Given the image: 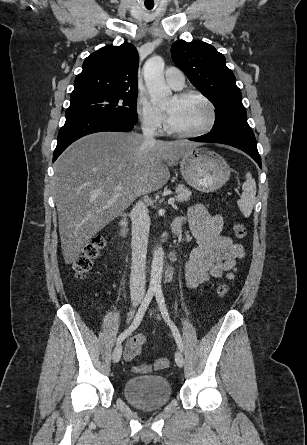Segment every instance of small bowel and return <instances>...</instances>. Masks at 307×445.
<instances>
[{
  "label": "small bowel",
  "mask_w": 307,
  "mask_h": 445,
  "mask_svg": "<svg viewBox=\"0 0 307 445\" xmlns=\"http://www.w3.org/2000/svg\"><path fill=\"white\" fill-rule=\"evenodd\" d=\"M184 224H187L186 238L195 242L185 266L187 287L197 288L213 278H233L236 263L245 257V250L231 237L222 234L223 216L210 214L203 205L195 204L185 216L174 221L172 230L179 233ZM146 341L143 334L130 337L124 350L125 360L138 357Z\"/></svg>",
  "instance_id": "obj_1"
}]
</instances>
